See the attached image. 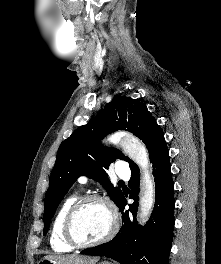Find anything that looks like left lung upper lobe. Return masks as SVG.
<instances>
[{
  "label": "left lung upper lobe",
  "instance_id": "obj_1",
  "mask_svg": "<svg viewBox=\"0 0 221 264\" xmlns=\"http://www.w3.org/2000/svg\"><path fill=\"white\" fill-rule=\"evenodd\" d=\"M117 130H126L139 137L148 148L150 160L164 141L161 127L142 102L131 97L114 98L94 119L61 143L45 194L43 235L48 232L58 205L81 175L100 182L115 204H120L124 194L111 184L104 168L108 169L116 159L129 162L131 173L139 172V168L118 149L100 144L101 138Z\"/></svg>",
  "mask_w": 221,
  "mask_h": 264
}]
</instances>
